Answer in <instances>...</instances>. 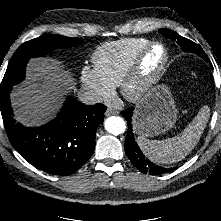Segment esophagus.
Segmentation results:
<instances>
[{
  "label": "esophagus",
  "mask_w": 221,
  "mask_h": 221,
  "mask_svg": "<svg viewBox=\"0 0 221 221\" xmlns=\"http://www.w3.org/2000/svg\"><path fill=\"white\" fill-rule=\"evenodd\" d=\"M116 114H118V111L115 110V109H112V108H108V109L106 110V112H105V115H106V116L116 115Z\"/></svg>",
  "instance_id": "obj_1"
}]
</instances>
